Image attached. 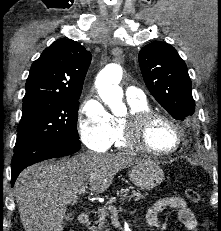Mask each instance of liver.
<instances>
[{
	"label": "liver",
	"mask_w": 221,
	"mask_h": 231,
	"mask_svg": "<svg viewBox=\"0 0 221 231\" xmlns=\"http://www.w3.org/2000/svg\"><path fill=\"white\" fill-rule=\"evenodd\" d=\"M136 162L120 154L86 153L23 170L15 183V197L25 231H63L67 206L77 203L85 183L92 192L103 193L120 170Z\"/></svg>",
	"instance_id": "liver-1"
}]
</instances>
